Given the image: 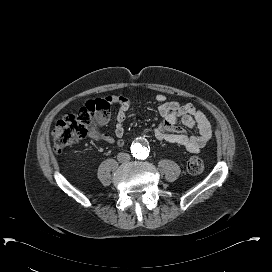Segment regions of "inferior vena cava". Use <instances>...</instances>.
Masks as SVG:
<instances>
[{
	"mask_svg": "<svg viewBox=\"0 0 272 272\" xmlns=\"http://www.w3.org/2000/svg\"><path fill=\"white\" fill-rule=\"evenodd\" d=\"M117 160H118L120 163H126V162H128V161L130 160V155L127 154V153L121 152V153H119V154L117 155Z\"/></svg>",
	"mask_w": 272,
	"mask_h": 272,
	"instance_id": "obj_1",
	"label": "inferior vena cava"
}]
</instances>
